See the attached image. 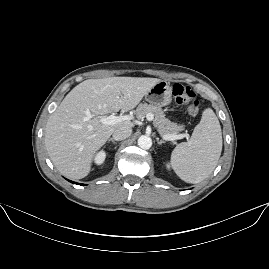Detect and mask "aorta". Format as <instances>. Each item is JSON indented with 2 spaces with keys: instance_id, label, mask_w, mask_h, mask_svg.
Here are the masks:
<instances>
[{
  "instance_id": "1",
  "label": "aorta",
  "mask_w": 269,
  "mask_h": 269,
  "mask_svg": "<svg viewBox=\"0 0 269 269\" xmlns=\"http://www.w3.org/2000/svg\"><path fill=\"white\" fill-rule=\"evenodd\" d=\"M137 143H138V146L143 150H148L152 146V140L150 137H147V136H141L138 139Z\"/></svg>"
}]
</instances>
